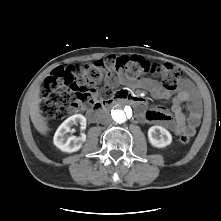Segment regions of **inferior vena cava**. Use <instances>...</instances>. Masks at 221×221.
<instances>
[{
    "label": "inferior vena cava",
    "instance_id": "inferior-vena-cava-1",
    "mask_svg": "<svg viewBox=\"0 0 221 221\" xmlns=\"http://www.w3.org/2000/svg\"><path fill=\"white\" fill-rule=\"evenodd\" d=\"M99 121L101 124L107 125L111 123L112 119L109 113L103 112L99 115Z\"/></svg>",
    "mask_w": 221,
    "mask_h": 221
}]
</instances>
